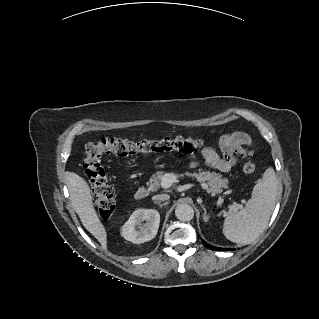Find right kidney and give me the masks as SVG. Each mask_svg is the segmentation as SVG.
<instances>
[{"label": "right kidney", "mask_w": 319, "mask_h": 319, "mask_svg": "<svg viewBox=\"0 0 319 319\" xmlns=\"http://www.w3.org/2000/svg\"><path fill=\"white\" fill-rule=\"evenodd\" d=\"M146 221L145 223H142ZM160 224V214L154 209H138L132 213L123 225L122 236L135 244L153 239Z\"/></svg>", "instance_id": "1"}]
</instances>
